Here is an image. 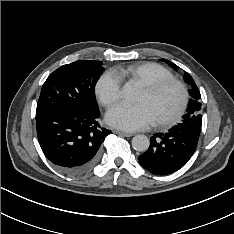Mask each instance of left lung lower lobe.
Segmentation results:
<instances>
[{"instance_id": "0a47b994", "label": "left lung lower lobe", "mask_w": 234, "mask_h": 234, "mask_svg": "<svg viewBox=\"0 0 234 234\" xmlns=\"http://www.w3.org/2000/svg\"><path fill=\"white\" fill-rule=\"evenodd\" d=\"M200 133L180 125L167 133H156L149 149L138 157L142 167L153 174L167 175L182 168L193 155Z\"/></svg>"}]
</instances>
